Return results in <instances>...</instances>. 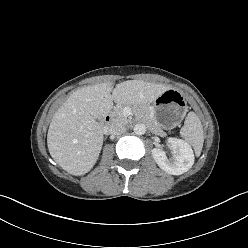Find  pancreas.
Returning <instances> with one entry per match:
<instances>
[{
    "label": "pancreas",
    "mask_w": 248,
    "mask_h": 248,
    "mask_svg": "<svg viewBox=\"0 0 248 248\" xmlns=\"http://www.w3.org/2000/svg\"><path fill=\"white\" fill-rule=\"evenodd\" d=\"M125 107L132 108V111L135 113L137 117H139L141 120L145 121L152 127L153 133L160 135V136L165 135L161 127L155 121L152 120L151 115H150V109L147 105L135 106V105L127 104V105H120L116 107L114 110V116L116 117V120L118 122H121L124 124L128 123L127 117L123 115V110Z\"/></svg>",
    "instance_id": "pancreas-1"
}]
</instances>
